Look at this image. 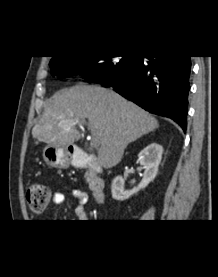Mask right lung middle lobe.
<instances>
[{
  "label": "right lung middle lobe",
  "instance_id": "1",
  "mask_svg": "<svg viewBox=\"0 0 218 277\" xmlns=\"http://www.w3.org/2000/svg\"><path fill=\"white\" fill-rule=\"evenodd\" d=\"M139 59V56L56 57L50 61L52 75L67 77L82 73L89 81L116 82Z\"/></svg>",
  "mask_w": 218,
  "mask_h": 277
}]
</instances>
